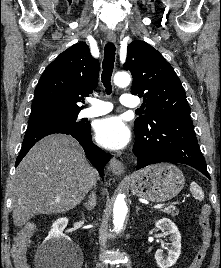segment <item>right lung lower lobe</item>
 Wrapping results in <instances>:
<instances>
[{"label": "right lung lower lobe", "mask_w": 221, "mask_h": 268, "mask_svg": "<svg viewBox=\"0 0 221 268\" xmlns=\"http://www.w3.org/2000/svg\"><path fill=\"white\" fill-rule=\"evenodd\" d=\"M91 126L88 124L74 126L55 122H38L29 124L22 143L21 151L16 159L15 166H18L23 157L33 147V145L43 137L63 133L74 137L83 147L86 156L96 167L101 177H103L104 167L110 160L111 155L98 148L91 140Z\"/></svg>", "instance_id": "98d812e1"}]
</instances>
